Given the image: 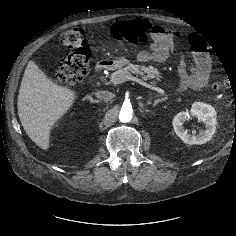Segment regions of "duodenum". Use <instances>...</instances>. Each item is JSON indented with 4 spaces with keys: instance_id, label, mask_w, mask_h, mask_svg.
Returning <instances> with one entry per match:
<instances>
[{
    "instance_id": "obj_1",
    "label": "duodenum",
    "mask_w": 236,
    "mask_h": 236,
    "mask_svg": "<svg viewBox=\"0 0 236 236\" xmlns=\"http://www.w3.org/2000/svg\"><path fill=\"white\" fill-rule=\"evenodd\" d=\"M113 66V62L110 61V60H102V61H99L95 67H94V72L96 74H100L102 73L104 70L110 68Z\"/></svg>"
}]
</instances>
